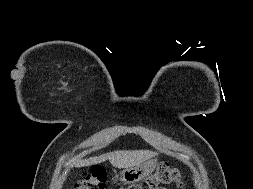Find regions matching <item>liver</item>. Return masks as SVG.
I'll use <instances>...</instances> for the list:
<instances>
[{
	"label": "liver",
	"instance_id": "6515ba94",
	"mask_svg": "<svg viewBox=\"0 0 253 189\" xmlns=\"http://www.w3.org/2000/svg\"><path fill=\"white\" fill-rule=\"evenodd\" d=\"M156 155L149 150H117L100 156L91 157L79 163L80 166H90L107 159L116 168H131L138 166Z\"/></svg>",
	"mask_w": 253,
	"mask_h": 189
}]
</instances>
